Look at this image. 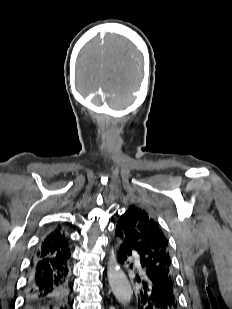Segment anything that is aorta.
Here are the masks:
<instances>
[{
    "label": "aorta",
    "instance_id": "762f6f07",
    "mask_svg": "<svg viewBox=\"0 0 232 309\" xmlns=\"http://www.w3.org/2000/svg\"><path fill=\"white\" fill-rule=\"evenodd\" d=\"M107 274L116 299L121 303L129 302L132 297V288L125 274L117 266L114 254L109 259Z\"/></svg>",
    "mask_w": 232,
    "mask_h": 309
}]
</instances>
